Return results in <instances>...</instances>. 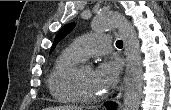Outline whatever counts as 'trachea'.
I'll return each instance as SVG.
<instances>
[{
	"label": "trachea",
	"instance_id": "obj_1",
	"mask_svg": "<svg viewBox=\"0 0 171 110\" xmlns=\"http://www.w3.org/2000/svg\"><path fill=\"white\" fill-rule=\"evenodd\" d=\"M116 46H117L118 48H122V47H123V42H122V40H118V41L116 42Z\"/></svg>",
	"mask_w": 171,
	"mask_h": 110
}]
</instances>
